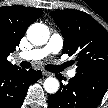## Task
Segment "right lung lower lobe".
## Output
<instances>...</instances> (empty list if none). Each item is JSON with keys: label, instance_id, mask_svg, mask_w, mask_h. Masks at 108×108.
<instances>
[{"label": "right lung lower lobe", "instance_id": "98d812e1", "mask_svg": "<svg viewBox=\"0 0 108 108\" xmlns=\"http://www.w3.org/2000/svg\"><path fill=\"white\" fill-rule=\"evenodd\" d=\"M41 71L15 69L0 72V108H19L28 87L41 77Z\"/></svg>", "mask_w": 108, "mask_h": 108}]
</instances>
